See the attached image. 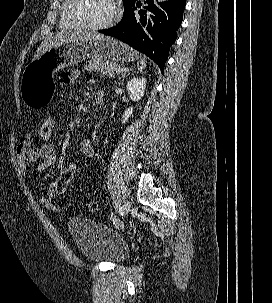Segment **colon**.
I'll use <instances>...</instances> for the list:
<instances>
[{
  "label": "colon",
  "instance_id": "5ec220e1",
  "mask_svg": "<svg viewBox=\"0 0 272 303\" xmlns=\"http://www.w3.org/2000/svg\"><path fill=\"white\" fill-rule=\"evenodd\" d=\"M56 118L54 115L49 114L45 116L38 128H37V135L38 139L43 144H48L53 141L55 131H56ZM78 171V162L76 160H73L70 162V164L60 173L57 180L54 182L55 192L56 194H63L68 185L73 180L75 174ZM98 208V205L95 201H90L87 205V209L89 212H95Z\"/></svg>",
  "mask_w": 272,
  "mask_h": 303
}]
</instances>
